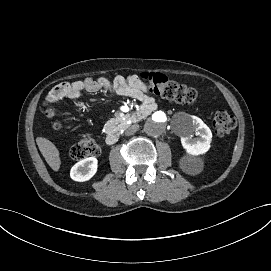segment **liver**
<instances>
[{"label": "liver", "mask_w": 271, "mask_h": 271, "mask_svg": "<svg viewBox=\"0 0 271 271\" xmlns=\"http://www.w3.org/2000/svg\"><path fill=\"white\" fill-rule=\"evenodd\" d=\"M36 143L48 165L54 171H58L60 168L61 161L59 157V151L55 147V145L51 141L42 137L36 138Z\"/></svg>", "instance_id": "1"}]
</instances>
